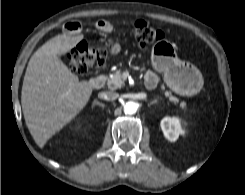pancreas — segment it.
Listing matches in <instances>:
<instances>
[{
	"label": "pancreas",
	"instance_id": "cf45deb5",
	"mask_svg": "<svg viewBox=\"0 0 245 195\" xmlns=\"http://www.w3.org/2000/svg\"><path fill=\"white\" fill-rule=\"evenodd\" d=\"M108 87L110 89H118L124 86V80H123V73L121 70L116 71L113 73L107 80ZM161 89L166 97L169 98L170 101H172L174 104L179 103V99L172 95L170 91H165V85H161ZM180 107L184 110L186 109V103L181 102Z\"/></svg>",
	"mask_w": 245,
	"mask_h": 195
}]
</instances>
